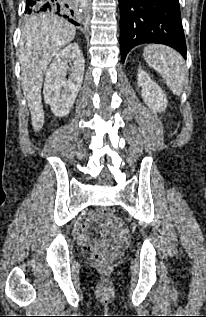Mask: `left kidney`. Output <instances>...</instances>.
<instances>
[{
	"label": "left kidney",
	"mask_w": 206,
	"mask_h": 317,
	"mask_svg": "<svg viewBox=\"0 0 206 317\" xmlns=\"http://www.w3.org/2000/svg\"><path fill=\"white\" fill-rule=\"evenodd\" d=\"M137 81L138 86L142 88L141 96L144 102L155 112L165 111L168 101L160 86L143 70L138 71Z\"/></svg>",
	"instance_id": "5707ae66"
}]
</instances>
